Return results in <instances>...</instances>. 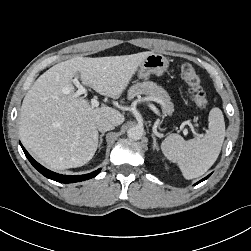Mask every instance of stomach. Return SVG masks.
I'll list each match as a JSON object with an SVG mask.
<instances>
[{"label": "stomach", "mask_w": 251, "mask_h": 251, "mask_svg": "<svg viewBox=\"0 0 251 251\" xmlns=\"http://www.w3.org/2000/svg\"><path fill=\"white\" fill-rule=\"evenodd\" d=\"M168 66L169 61L165 56L158 53H151L140 64L138 76L139 78H147L151 74L161 76L167 70Z\"/></svg>", "instance_id": "0dacf381"}]
</instances>
